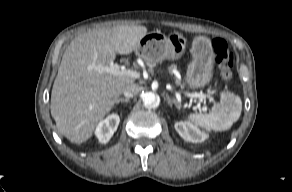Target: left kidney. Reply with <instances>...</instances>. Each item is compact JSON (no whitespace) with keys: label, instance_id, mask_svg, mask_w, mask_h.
<instances>
[{"label":"left kidney","instance_id":"5707ae66","mask_svg":"<svg viewBox=\"0 0 292 192\" xmlns=\"http://www.w3.org/2000/svg\"><path fill=\"white\" fill-rule=\"evenodd\" d=\"M175 129L178 134L188 142L200 143L207 138L205 133L201 132L195 125L190 122H177L175 123Z\"/></svg>","mask_w":292,"mask_h":192}]
</instances>
